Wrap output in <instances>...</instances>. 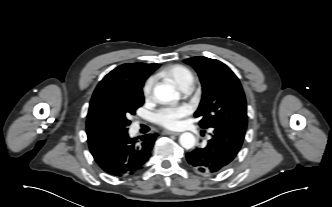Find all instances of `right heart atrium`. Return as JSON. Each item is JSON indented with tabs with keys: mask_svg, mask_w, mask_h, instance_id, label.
Instances as JSON below:
<instances>
[{
	"mask_svg": "<svg viewBox=\"0 0 332 207\" xmlns=\"http://www.w3.org/2000/svg\"><path fill=\"white\" fill-rule=\"evenodd\" d=\"M155 80L154 78H148L143 85V95L146 99L150 98L153 92Z\"/></svg>",
	"mask_w": 332,
	"mask_h": 207,
	"instance_id": "d8ad5b80",
	"label": "right heart atrium"
}]
</instances>
